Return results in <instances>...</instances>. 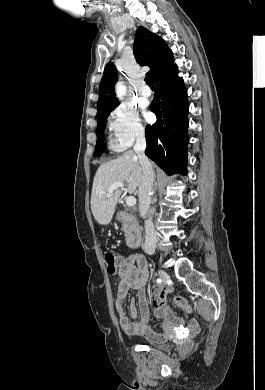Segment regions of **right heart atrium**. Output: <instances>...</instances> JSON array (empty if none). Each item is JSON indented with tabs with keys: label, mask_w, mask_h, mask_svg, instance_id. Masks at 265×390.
Instances as JSON below:
<instances>
[{
	"label": "right heart atrium",
	"mask_w": 265,
	"mask_h": 390,
	"mask_svg": "<svg viewBox=\"0 0 265 390\" xmlns=\"http://www.w3.org/2000/svg\"><path fill=\"white\" fill-rule=\"evenodd\" d=\"M108 126L113 135V144L119 150L129 148L143 139L145 134L138 112L126 104H120L111 111Z\"/></svg>",
	"instance_id": "right-heart-atrium-1"
}]
</instances>
